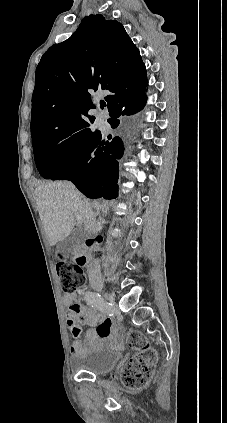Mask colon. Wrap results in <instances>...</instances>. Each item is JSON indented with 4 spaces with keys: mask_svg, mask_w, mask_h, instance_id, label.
<instances>
[{
    "mask_svg": "<svg viewBox=\"0 0 227 423\" xmlns=\"http://www.w3.org/2000/svg\"><path fill=\"white\" fill-rule=\"evenodd\" d=\"M93 242V239H88L86 244L87 246H91ZM86 263L87 261L84 257L78 258L76 264L66 259H60L58 261L57 273L61 279L64 293H73L83 282L82 266ZM128 344L137 352L125 364L121 376L127 386L133 389H141L149 383L154 370L156 354L141 333L131 332L128 336Z\"/></svg>",
    "mask_w": 227,
    "mask_h": 423,
    "instance_id": "colon-1",
    "label": "colon"
}]
</instances>
